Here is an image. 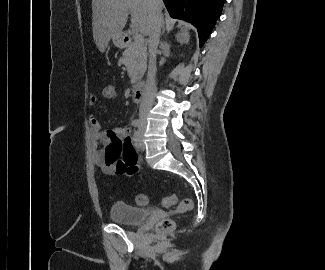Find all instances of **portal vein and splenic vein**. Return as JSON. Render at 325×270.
<instances>
[{
    "mask_svg": "<svg viewBox=\"0 0 325 270\" xmlns=\"http://www.w3.org/2000/svg\"><path fill=\"white\" fill-rule=\"evenodd\" d=\"M134 40L138 44H144V37L137 31L134 32Z\"/></svg>",
    "mask_w": 325,
    "mask_h": 270,
    "instance_id": "obj_1",
    "label": "portal vein and splenic vein"
}]
</instances>
